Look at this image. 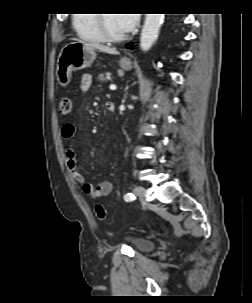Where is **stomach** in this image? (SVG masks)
Returning a JSON list of instances; mask_svg holds the SVG:
<instances>
[{"label":"stomach","instance_id":"0dacf381","mask_svg":"<svg viewBox=\"0 0 252 303\" xmlns=\"http://www.w3.org/2000/svg\"><path fill=\"white\" fill-rule=\"evenodd\" d=\"M96 58L95 49L83 42H70L59 53L56 67V77L62 87H66L72 77L73 70L89 67ZM119 65L124 70L132 69L130 58L124 57Z\"/></svg>","mask_w":252,"mask_h":303}]
</instances>
